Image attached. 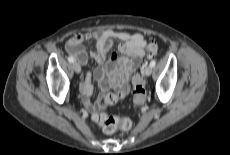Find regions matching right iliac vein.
Returning a JSON list of instances; mask_svg holds the SVG:
<instances>
[{
  "label": "right iliac vein",
  "mask_w": 230,
  "mask_h": 155,
  "mask_svg": "<svg viewBox=\"0 0 230 155\" xmlns=\"http://www.w3.org/2000/svg\"><path fill=\"white\" fill-rule=\"evenodd\" d=\"M72 67H73V70H74L76 73H80V72H81V66L79 65L78 62H73V63H72Z\"/></svg>",
  "instance_id": "obj_1"
}]
</instances>
